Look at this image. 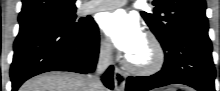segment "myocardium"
<instances>
[{
  "instance_id": "obj_1",
  "label": "myocardium",
  "mask_w": 220,
  "mask_h": 91,
  "mask_svg": "<svg viewBox=\"0 0 220 91\" xmlns=\"http://www.w3.org/2000/svg\"><path fill=\"white\" fill-rule=\"evenodd\" d=\"M145 40L151 47L152 53L150 62L146 65H136L129 58L125 61L127 69L136 75L148 76L155 74L163 67L165 62L164 48L157 36L153 33H147Z\"/></svg>"
}]
</instances>
